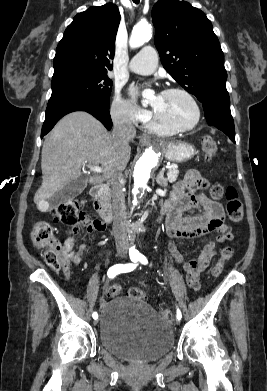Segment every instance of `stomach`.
I'll use <instances>...</instances> for the list:
<instances>
[{"mask_svg": "<svg viewBox=\"0 0 267 391\" xmlns=\"http://www.w3.org/2000/svg\"><path fill=\"white\" fill-rule=\"evenodd\" d=\"M195 154V147L186 142H172L169 143L165 149L166 159L176 163L186 162Z\"/></svg>", "mask_w": 267, "mask_h": 391, "instance_id": "0dacf381", "label": "stomach"}]
</instances>
